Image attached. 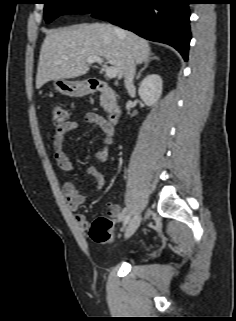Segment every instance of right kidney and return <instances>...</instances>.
<instances>
[{
	"label": "right kidney",
	"mask_w": 236,
	"mask_h": 321,
	"mask_svg": "<svg viewBox=\"0 0 236 321\" xmlns=\"http://www.w3.org/2000/svg\"><path fill=\"white\" fill-rule=\"evenodd\" d=\"M138 93L147 106H153L162 95V79L157 74L147 75L140 83Z\"/></svg>",
	"instance_id": "ca27d5eb"
}]
</instances>
